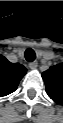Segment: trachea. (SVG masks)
I'll return each instance as SVG.
<instances>
[{
  "label": "trachea",
  "mask_w": 63,
  "mask_h": 123,
  "mask_svg": "<svg viewBox=\"0 0 63 123\" xmlns=\"http://www.w3.org/2000/svg\"><path fill=\"white\" fill-rule=\"evenodd\" d=\"M24 56L28 62H33L36 58L35 51L32 48H27L25 50Z\"/></svg>",
  "instance_id": "obj_1"
}]
</instances>
